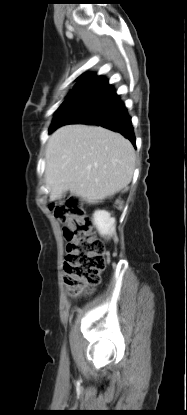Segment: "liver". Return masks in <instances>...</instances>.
Returning <instances> with one entry per match:
<instances>
[{"label":"liver","instance_id":"obj_1","mask_svg":"<svg viewBox=\"0 0 187 415\" xmlns=\"http://www.w3.org/2000/svg\"><path fill=\"white\" fill-rule=\"evenodd\" d=\"M45 162L50 201L70 192L96 203L131 182L135 151L130 141L103 127L66 125L50 136Z\"/></svg>","mask_w":187,"mask_h":415}]
</instances>
